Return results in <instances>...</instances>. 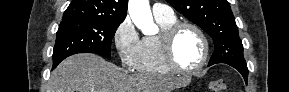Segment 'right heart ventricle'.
Wrapping results in <instances>:
<instances>
[{"instance_id":"1","label":"right heart ventricle","mask_w":289,"mask_h":92,"mask_svg":"<svg viewBox=\"0 0 289 92\" xmlns=\"http://www.w3.org/2000/svg\"><path fill=\"white\" fill-rule=\"evenodd\" d=\"M155 20L161 28V32L177 22L176 17H157ZM161 34V33H160ZM160 34L145 36L141 40L140 53L136 70L146 74H170L172 71L165 64L160 49Z\"/></svg>"}]
</instances>
